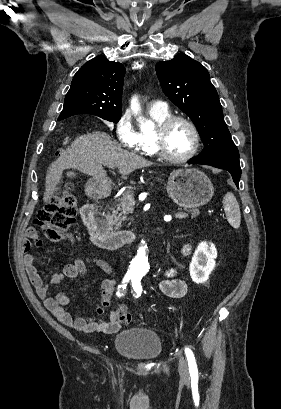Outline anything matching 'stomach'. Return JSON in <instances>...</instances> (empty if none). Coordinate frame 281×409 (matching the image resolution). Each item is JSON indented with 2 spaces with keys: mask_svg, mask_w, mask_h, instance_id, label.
<instances>
[{
  "mask_svg": "<svg viewBox=\"0 0 281 409\" xmlns=\"http://www.w3.org/2000/svg\"><path fill=\"white\" fill-rule=\"evenodd\" d=\"M111 180L89 178L85 184V192L91 198H105L111 192ZM169 196L179 207L196 209L203 207L214 194L213 184L205 172L198 168H178L168 178Z\"/></svg>",
  "mask_w": 281,
  "mask_h": 409,
  "instance_id": "stomach-1",
  "label": "stomach"
}]
</instances>
